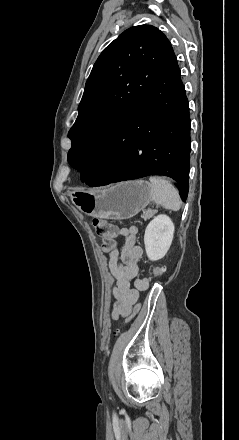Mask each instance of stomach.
I'll use <instances>...</instances> for the list:
<instances>
[{
    "mask_svg": "<svg viewBox=\"0 0 239 440\" xmlns=\"http://www.w3.org/2000/svg\"><path fill=\"white\" fill-rule=\"evenodd\" d=\"M152 194V184L144 180H133L91 192L77 190L74 192V204L78 210L92 218L128 220L152 202Z\"/></svg>",
    "mask_w": 239,
    "mask_h": 440,
    "instance_id": "1",
    "label": "stomach"
}]
</instances>
